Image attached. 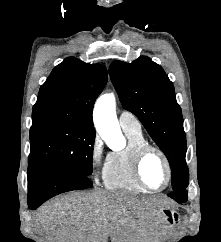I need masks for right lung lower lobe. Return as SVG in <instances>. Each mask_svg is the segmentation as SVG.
Masks as SVG:
<instances>
[{
    "mask_svg": "<svg viewBox=\"0 0 221 242\" xmlns=\"http://www.w3.org/2000/svg\"><path fill=\"white\" fill-rule=\"evenodd\" d=\"M91 187L92 183L85 175L57 169L28 171V206L35 210L60 193Z\"/></svg>",
    "mask_w": 221,
    "mask_h": 242,
    "instance_id": "right-lung-lower-lobe-1",
    "label": "right lung lower lobe"
}]
</instances>
